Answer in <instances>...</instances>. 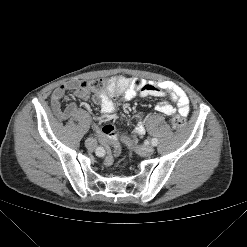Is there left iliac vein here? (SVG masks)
Here are the masks:
<instances>
[{
    "label": "left iliac vein",
    "instance_id": "1",
    "mask_svg": "<svg viewBox=\"0 0 247 247\" xmlns=\"http://www.w3.org/2000/svg\"><path fill=\"white\" fill-rule=\"evenodd\" d=\"M126 144L130 147L135 148L136 152L141 156H150L154 153V148L152 146H144V145H134L133 141L124 138Z\"/></svg>",
    "mask_w": 247,
    "mask_h": 247
}]
</instances>
